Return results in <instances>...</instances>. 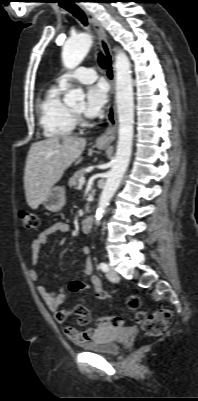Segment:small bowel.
<instances>
[{"label": "small bowel", "instance_id": "c3829d8e", "mask_svg": "<svg viewBox=\"0 0 198 401\" xmlns=\"http://www.w3.org/2000/svg\"><path fill=\"white\" fill-rule=\"evenodd\" d=\"M69 229H70V227L67 222H65V221L56 222V223H53L50 226L46 227L45 229H43L36 236V238L32 241V244H31V265L32 266L29 269V275L34 282H36V283L39 282V275H38L37 271L35 270V266L37 265V263L39 261L40 249L47 244L49 237H51L55 234H58V233H61L63 235V237L60 239V244H63L66 240V235L69 232ZM82 254L84 255L85 260H86L85 266L83 268V273L85 275L89 276L88 283L82 282L79 280L73 281L77 286L76 290L71 291L69 289V291H68L67 288L63 287L60 289V291L58 293L47 290L41 284H38V287H37L40 296L46 303L49 310L53 313L55 321L57 323L63 325L62 330H63L64 335L68 339H70L80 345H82L88 341H93L95 338H97L100 335L101 330H103L105 327L100 325L97 322L94 326H92L84 331H80L79 327L77 325L66 323L68 314L66 311L59 309V305L71 297L70 293H74V292H77V291H80L82 289L89 288V287L93 288L95 298L97 300H100V301L105 300L107 297V294L102 286L100 279L97 276L93 275V273H92L93 267H92L91 249L88 246H84L82 248ZM76 316H77V322L79 325H86L90 321V318H89V321L86 324H81L79 321V316L77 314H76Z\"/></svg>", "mask_w": 198, "mask_h": 401}]
</instances>
